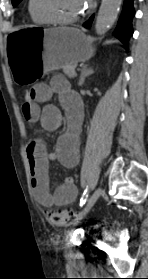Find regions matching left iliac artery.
I'll list each match as a JSON object with an SVG mask.
<instances>
[{"mask_svg":"<svg viewBox=\"0 0 148 279\" xmlns=\"http://www.w3.org/2000/svg\"><path fill=\"white\" fill-rule=\"evenodd\" d=\"M88 194H89V188L87 187L85 189V191L83 192V195L81 197V200H80V206H83L88 198Z\"/></svg>","mask_w":148,"mask_h":279,"instance_id":"obj_1","label":"left iliac artery"}]
</instances>
